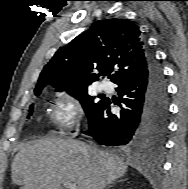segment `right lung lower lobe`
Segmentation results:
<instances>
[{
	"label": "right lung lower lobe",
	"mask_w": 188,
	"mask_h": 189,
	"mask_svg": "<svg viewBox=\"0 0 188 189\" xmlns=\"http://www.w3.org/2000/svg\"><path fill=\"white\" fill-rule=\"evenodd\" d=\"M121 106L111 113L112 102L104 99L89 120V131L101 145L128 146L158 152L162 149L168 126V92L165 77L150 52L145 73L117 84Z\"/></svg>",
	"instance_id": "1"
}]
</instances>
